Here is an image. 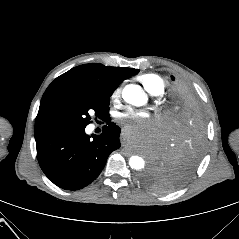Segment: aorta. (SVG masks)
Listing matches in <instances>:
<instances>
[{"instance_id": "762f6f07", "label": "aorta", "mask_w": 239, "mask_h": 239, "mask_svg": "<svg viewBox=\"0 0 239 239\" xmlns=\"http://www.w3.org/2000/svg\"><path fill=\"white\" fill-rule=\"evenodd\" d=\"M122 97L127 103L135 106H142L147 102V95L140 86L135 84L126 85ZM129 165L134 170H141L145 166V161L142 157L134 155L130 157Z\"/></svg>"}]
</instances>
